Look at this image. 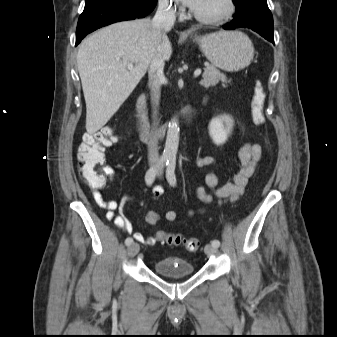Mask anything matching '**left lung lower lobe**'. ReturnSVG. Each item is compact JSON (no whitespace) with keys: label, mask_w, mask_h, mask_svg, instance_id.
<instances>
[{"label":"left lung lower lobe","mask_w":337,"mask_h":337,"mask_svg":"<svg viewBox=\"0 0 337 337\" xmlns=\"http://www.w3.org/2000/svg\"><path fill=\"white\" fill-rule=\"evenodd\" d=\"M249 28L274 43L273 19H266L260 14H248L234 18L231 23L223 25L225 30Z\"/></svg>","instance_id":"1"}]
</instances>
